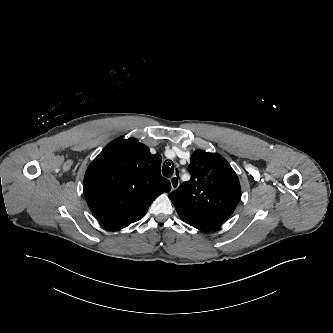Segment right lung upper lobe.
Returning <instances> with one entry per match:
<instances>
[{
	"label": "right lung upper lobe",
	"mask_w": 333,
	"mask_h": 333,
	"mask_svg": "<svg viewBox=\"0 0 333 333\" xmlns=\"http://www.w3.org/2000/svg\"><path fill=\"white\" fill-rule=\"evenodd\" d=\"M161 156L134 138L109 143L88 166L84 196L93 215L118 230L140 220L170 182L162 177Z\"/></svg>",
	"instance_id": "right-lung-upper-lobe-1"
}]
</instances>
